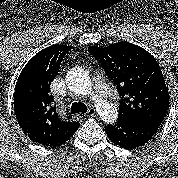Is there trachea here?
Returning <instances> with one entry per match:
<instances>
[{
  "instance_id": "1",
  "label": "trachea",
  "mask_w": 178,
  "mask_h": 178,
  "mask_svg": "<svg viewBox=\"0 0 178 178\" xmlns=\"http://www.w3.org/2000/svg\"><path fill=\"white\" fill-rule=\"evenodd\" d=\"M87 106L84 103L75 102L71 106V114L76 113H86L87 112Z\"/></svg>"
}]
</instances>
